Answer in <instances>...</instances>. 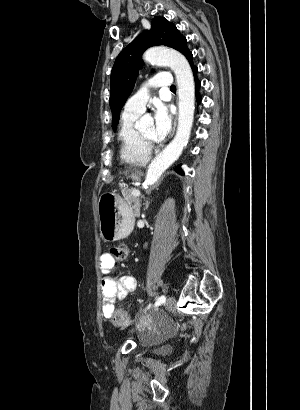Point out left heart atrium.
<instances>
[{
	"label": "left heart atrium",
	"mask_w": 300,
	"mask_h": 410,
	"mask_svg": "<svg viewBox=\"0 0 300 410\" xmlns=\"http://www.w3.org/2000/svg\"><path fill=\"white\" fill-rule=\"evenodd\" d=\"M172 119L167 106L157 103L154 109V133L155 141L164 140L171 130Z\"/></svg>",
	"instance_id": "1"
}]
</instances>
